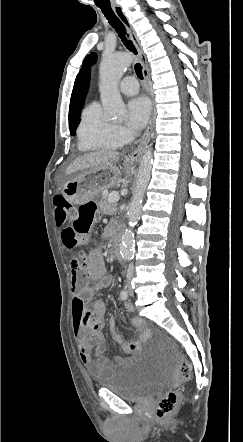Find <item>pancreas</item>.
<instances>
[{"label":"pancreas","instance_id":"1","mask_svg":"<svg viewBox=\"0 0 243 442\" xmlns=\"http://www.w3.org/2000/svg\"><path fill=\"white\" fill-rule=\"evenodd\" d=\"M99 208L103 213L115 214L117 212V203L109 202V196L107 199H102L99 203Z\"/></svg>","mask_w":243,"mask_h":442}]
</instances>
